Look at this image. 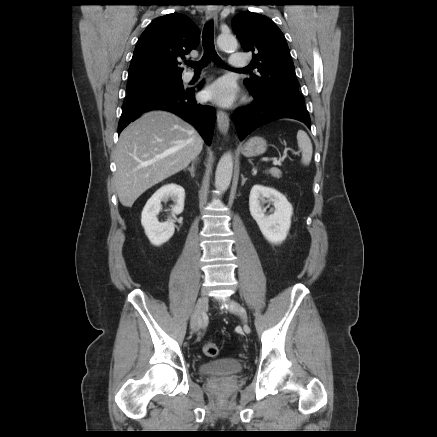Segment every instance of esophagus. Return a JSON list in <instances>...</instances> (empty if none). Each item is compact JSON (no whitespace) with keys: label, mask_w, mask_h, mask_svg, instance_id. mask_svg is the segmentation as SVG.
Listing matches in <instances>:
<instances>
[{"label":"esophagus","mask_w":437,"mask_h":437,"mask_svg":"<svg viewBox=\"0 0 437 437\" xmlns=\"http://www.w3.org/2000/svg\"><path fill=\"white\" fill-rule=\"evenodd\" d=\"M206 19L208 21H214L215 23L217 22V11L214 8H208L206 11ZM229 116L228 114L223 111L218 109L217 110V126L219 131L223 134L226 135L228 133L229 130Z\"/></svg>","instance_id":"obj_1"}]
</instances>
